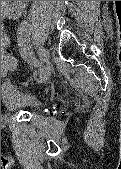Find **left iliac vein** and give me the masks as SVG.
Wrapping results in <instances>:
<instances>
[{
  "instance_id": "4c4485c4",
  "label": "left iliac vein",
  "mask_w": 121,
  "mask_h": 169,
  "mask_svg": "<svg viewBox=\"0 0 121 169\" xmlns=\"http://www.w3.org/2000/svg\"><path fill=\"white\" fill-rule=\"evenodd\" d=\"M39 56H40L41 62L44 64H47L49 62L50 52L48 49L41 46L39 49ZM49 77H50V70L48 67H45V69L42 71L39 78L37 79V82L46 83Z\"/></svg>"
}]
</instances>
